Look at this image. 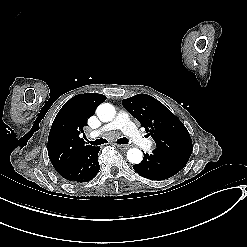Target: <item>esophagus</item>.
Here are the masks:
<instances>
[{"label":"esophagus","mask_w":247,"mask_h":247,"mask_svg":"<svg viewBox=\"0 0 247 247\" xmlns=\"http://www.w3.org/2000/svg\"><path fill=\"white\" fill-rule=\"evenodd\" d=\"M117 148L122 150V151H125L127 149H129V146H126V145H117Z\"/></svg>","instance_id":"34e87169"}]
</instances>
